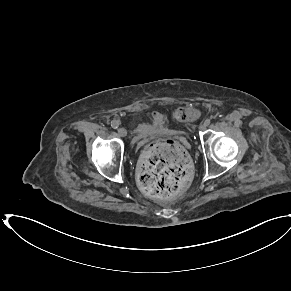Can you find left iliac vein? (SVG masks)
I'll return each mask as SVG.
<instances>
[{"mask_svg":"<svg viewBox=\"0 0 291 291\" xmlns=\"http://www.w3.org/2000/svg\"><path fill=\"white\" fill-rule=\"evenodd\" d=\"M207 128V125L205 123H202L199 125V130L204 131Z\"/></svg>","mask_w":291,"mask_h":291,"instance_id":"obj_1","label":"left iliac vein"}]
</instances>
